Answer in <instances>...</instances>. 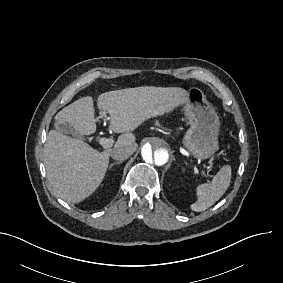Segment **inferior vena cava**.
<instances>
[{
	"instance_id": "602c4592",
	"label": "inferior vena cava",
	"mask_w": 283,
	"mask_h": 283,
	"mask_svg": "<svg viewBox=\"0 0 283 283\" xmlns=\"http://www.w3.org/2000/svg\"><path fill=\"white\" fill-rule=\"evenodd\" d=\"M134 153V149L131 146L128 145H118L114 146V148L111 150V156L116 161L122 162L129 158Z\"/></svg>"
}]
</instances>
